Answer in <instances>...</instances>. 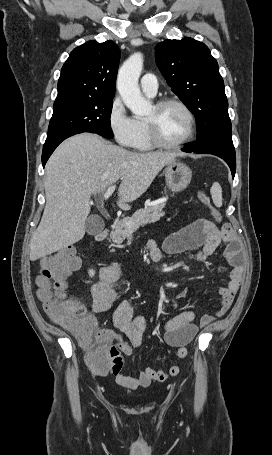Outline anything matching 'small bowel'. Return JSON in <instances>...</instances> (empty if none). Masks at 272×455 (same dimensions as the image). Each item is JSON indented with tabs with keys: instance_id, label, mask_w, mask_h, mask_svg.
Returning a JSON list of instances; mask_svg holds the SVG:
<instances>
[{
	"instance_id": "c3829d8e",
	"label": "small bowel",
	"mask_w": 272,
	"mask_h": 455,
	"mask_svg": "<svg viewBox=\"0 0 272 455\" xmlns=\"http://www.w3.org/2000/svg\"><path fill=\"white\" fill-rule=\"evenodd\" d=\"M225 242L227 246L224 251L225 258L232 267L230 280L226 286H221L218 293L221 296V305L216 316L224 315L230 308L233 299L241 285L244 267L240 255V248L235 234L229 225L218 228L212 221L197 219L168 235L162 247L159 248L154 240L147 242V249L153 261H159L162 252L166 254H187L190 261L204 263L219 247ZM120 278V265L116 262L103 267L99 280L92 286L93 311L102 313L110 310L114 305L118 292L115 284ZM188 289L184 288L177 294V299L187 297ZM195 313L191 310H184L164 324L165 342L177 348L178 358H185L184 352H188L187 345L197 334L199 327H204L214 320L213 316H203L200 324L194 322ZM113 322L116 331L110 329L99 330L97 336L107 344H114L124 354L130 355L132 349L139 346L144 332L148 328L147 320L143 316L135 315L133 306L128 301L120 302L114 310ZM109 370L101 371L102 374ZM112 371V370H111ZM119 385L129 389L146 387L152 381L163 382L169 376H176L180 367L172 365L169 370L162 371L153 368H146L136 375H126L120 371H112Z\"/></svg>"
}]
</instances>
